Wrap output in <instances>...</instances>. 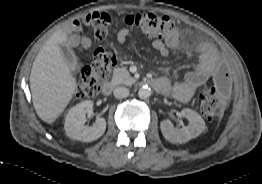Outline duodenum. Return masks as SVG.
Listing matches in <instances>:
<instances>
[{
  "label": "duodenum",
  "instance_id": "duodenum-1",
  "mask_svg": "<svg viewBox=\"0 0 262 184\" xmlns=\"http://www.w3.org/2000/svg\"><path fill=\"white\" fill-rule=\"evenodd\" d=\"M147 83L154 89L159 87V82L156 79H149ZM114 87V83L112 81H107L102 85V93L104 95H110Z\"/></svg>",
  "mask_w": 262,
  "mask_h": 184
}]
</instances>
